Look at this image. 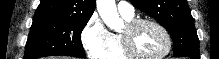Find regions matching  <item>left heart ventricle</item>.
<instances>
[{
    "mask_svg": "<svg viewBox=\"0 0 219 59\" xmlns=\"http://www.w3.org/2000/svg\"><path fill=\"white\" fill-rule=\"evenodd\" d=\"M125 31V28L122 32ZM164 35L153 25L140 26L133 34V46L142 56L153 57L160 55L166 49Z\"/></svg>",
    "mask_w": 219,
    "mask_h": 59,
    "instance_id": "left-heart-ventricle-1",
    "label": "left heart ventricle"
}]
</instances>
